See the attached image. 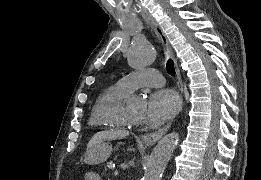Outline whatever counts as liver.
Masks as SVG:
<instances>
[{"label": "liver", "instance_id": "1", "mask_svg": "<svg viewBox=\"0 0 261 180\" xmlns=\"http://www.w3.org/2000/svg\"><path fill=\"white\" fill-rule=\"evenodd\" d=\"M129 136L128 130H123V128H119V130H105V132H97L92 136L90 142L87 144V150H91L94 148L96 144H100V142H106V140H123Z\"/></svg>", "mask_w": 261, "mask_h": 180}]
</instances>
